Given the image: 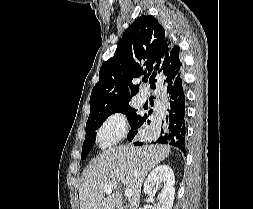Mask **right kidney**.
I'll return each instance as SVG.
<instances>
[{
  "instance_id": "1",
  "label": "right kidney",
  "mask_w": 253,
  "mask_h": 209,
  "mask_svg": "<svg viewBox=\"0 0 253 209\" xmlns=\"http://www.w3.org/2000/svg\"><path fill=\"white\" fill-rule=\"evenodd\" d=\"M175 176L173 170L167 165L157 166L147 176L143 191L147 195L146 201L153 199L155 187H162L161 194L158 196L156 209H172L175 195Z\"/></svg>"
}]
</instances>
